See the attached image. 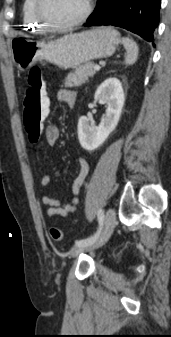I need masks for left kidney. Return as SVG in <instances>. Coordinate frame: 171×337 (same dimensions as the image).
Returning <instances> with one entry per match:
<instances>
[{
  "label": "left kidney",
  "mask_w": 171,
  "mask_h": 337,
  "mask_svg": "<svg viewBox=\"0 0 171 337\" xmlns=\"http://www.w3.org/2000/svg\"><path fill=\"white\" fill-rule=\"evenodd\" d=\"M94 99L106 104V113L99 126H95L92 119L86 116L78 121L79 142L88 151L101 146L119 122L125 101L121 82L114 77L106 79L96 90Z\"/></svg>",
  "instance_id": "left-kidney-1"
}]
</instances>
